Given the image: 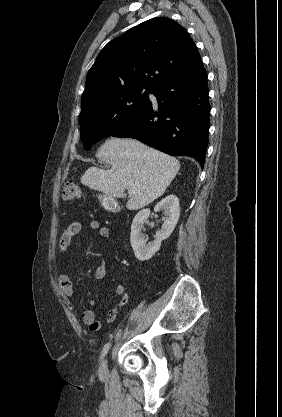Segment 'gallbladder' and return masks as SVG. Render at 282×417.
I'll use <instances>...</instances> for the list:
<instances>
[{
	"mask_svg": "<svg viewBox=\"0 0 282 417\" xmlns=\"http://www.w3.org/2000/svg\"><path fill=\"white\" fill-rule=\"evenodd\" d=\"M97 196H98L99 200H102V198H103L102 194H97Z\"/></svg>",
	"mask_w": 282,
	"mask_h": 417,
	"instance_id": "obj_1",
	"label": "gallbladder"
}]
</instances>
